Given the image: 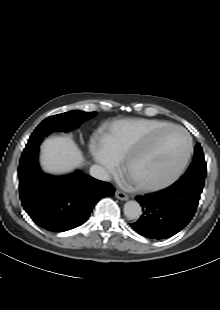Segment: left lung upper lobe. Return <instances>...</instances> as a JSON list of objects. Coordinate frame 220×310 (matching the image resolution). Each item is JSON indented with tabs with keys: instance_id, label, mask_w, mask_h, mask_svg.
I'll return each mask as SVG.
<instances>
[{
	"instance_id": "1",
	"label": "left lung upper lobe",
	"mask_w": 220,
	"mask_h": 310,
	"mask_svg": "<svg viewBox=\"0 0 220 310\" xmlns=\"http://www.w3.org/2000/svg\"><path fill=\"white\" fill-rule=\"evenodd\" d=\"M206 176V163L202 148L196 144L193 161L186 173L178 180L179 182H195L204 185Z\"/></svg>"
}]
</instances>
